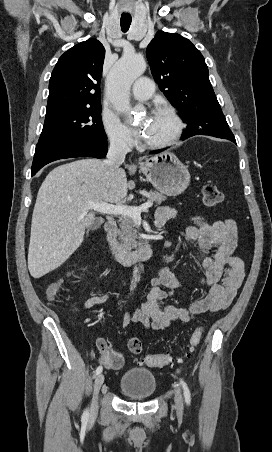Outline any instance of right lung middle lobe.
Returning <instances> with one entry per match:
<instances>
[{
	"instance_id": "1",
	"label": "right lung middle lobe",
	"mask_w": 272,
	"mask_h": 452,
	"mask_svg": "<svg viewBox=\"0 0 272 452\" xmlns=\"http://www.w3.org/2000/svg\"><path fill=\"white\" fill-rule=\"evenodd\" d=\"M107 140L101 120V105L65 109L46 114L39 143Z\"/></svg>"
}]
</instances>
